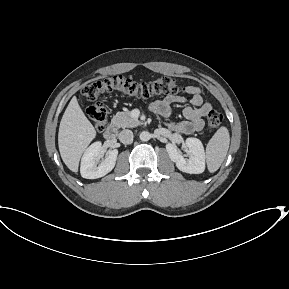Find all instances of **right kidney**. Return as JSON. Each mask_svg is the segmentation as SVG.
Wrapping results in <instances>:
<instances>
[{
  "instance_id": "1",
  "label": "right kidney",
  "mask_w": 289,
  "mask_h": 289,
  "mask_svg": "<svg viewBox=\"0 0 289 289\" xmlns=\"http://www.w3.org/2000/svg\"><path fill=\"white\" fill-rule=\"evenodd\" d=\"M101 142H94L84 152L81 160L80 173L83 178L97 179L105 176L114 168L118 155V150L107 152L105 160L99 162L101 156Z\"/></svg>"
}]
</instances>
